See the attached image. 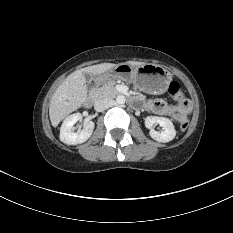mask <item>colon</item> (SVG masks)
Returning a JSON list of instances; mask_svg holds the SVG:
<instances>
[{
    "mask_svg": "<svg viewBox=\"0 0 233 233\" xmlns=\"http://www.w3.org/2000/svg\"><path fill=\"white\" fill-rule=\"evenodd\" d=\"M168 95L171 98V100H173L174 102H178L181 104L186 103L185 99H184V92L183 89L180 85L179 82L173 80L170 82L169 86H168ZM188 120L187 118H184L180 121V128L181 130H186L188 127Z\"/></svg>",
    "mask_w": 233,
    "mask_h": 233,
    "instance_id": "obj_1",
    "label": "colon"
}]
</instances>
